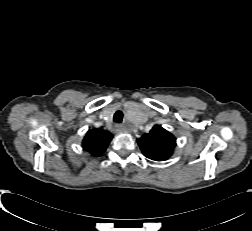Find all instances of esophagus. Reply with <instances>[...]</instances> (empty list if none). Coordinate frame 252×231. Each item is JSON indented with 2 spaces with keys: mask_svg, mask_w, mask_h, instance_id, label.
<instances>
[{
  "mask_svg": "<svg viewBox=\"0 0 252 231\" xmlns=\"http://www.w3.org/2000/svg\"><path fill=\"white\" fill-rule=\"evenodd\" d=\"M114 131H115L116 133L123 132V127H122L120 124H116V125L114 126Z\"/></svg>",
  "mask_w": 252,
  "mask_h": 231,
  "instance_id": "1",
  "label": "esophagus"
}]
</instances>
